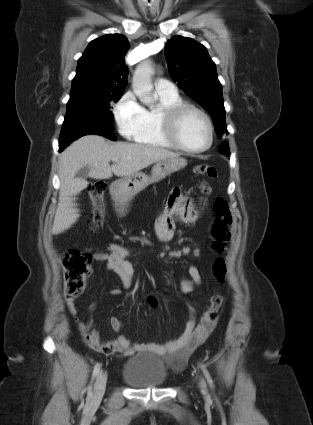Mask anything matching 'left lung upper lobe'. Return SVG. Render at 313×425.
Returning <instances> with one entry per match:
<instances>
[{"label": "left lung upper lobe", "mask_w": 313, "mask_h": 425, "mask_svg": "<svg viewBox=\"0 0 313 425\" xmlns=\"http://www.w3.org/2000/svg\"><path fill=\"white\" fill-rule=\"evenodd\" d=\"M165 56L169 73L178 86L211 115L219 137L228 134L225 123V108L222 86L218 80L215 63L199 42L176 36L168 40ZM229 154L225 143L220 147Z\"/></svg>", "instance_id": "left-lung-upper-lobe-1"}]
</instances>
